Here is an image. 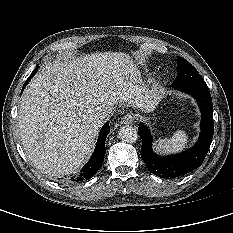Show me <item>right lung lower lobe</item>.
<instances>
[{"label": "right lung lower lobe", "instance_id": "98d812e1", "mask_svg": "<svg viewBox=\"0 0 233 233\" xmlns=\"http://www.w3.org/2000/svg\"><path fill=\"white\" fill-rule=\"evenodd\" d=\"M36 72H37V68L34 69L32 74L30 75V77L25 82V84L22 88V91L24 90V88L26 87V85L31 80V78L35 75ZM109 132H110V126H109V122H107L102 127V129L99 133V137H98V140H97V143L95 146V150H94V153H93L91 159L83 167V169L81 170V173L78 176L72 177L73 181L77 182V181H82L84 179H89L99 170L100 166L103 163L104 156L106 153L105 140H106V137L109 134Z\"/></svg>", "mask_w": 233, "mask_h": 233}]
</instances>
